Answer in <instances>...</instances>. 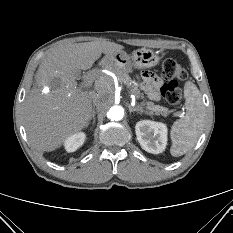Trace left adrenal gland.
<instances>
[{"label": "left adrenal gland", "mask_w": 233, "mask_h": 233, "mask_svg": "<svg viewBox=\"0 0 233 233\" xmlns=\"http://www.w3.org/2000/svg\"><path fill=\"white\" fill-rule=\"evenodd\" d=\"M128 108H129L130 114H131L132 112H137V113H142V112H143L142 107H140L139 105L136 106V107H131V106L129 105Z\"/></svg>", "instance_id": "a2214340"}]
</instances>
